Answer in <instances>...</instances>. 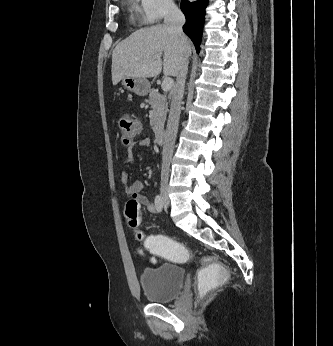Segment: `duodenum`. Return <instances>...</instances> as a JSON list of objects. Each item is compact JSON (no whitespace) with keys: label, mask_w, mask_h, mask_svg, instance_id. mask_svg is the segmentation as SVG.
I'll return each instance as SVG.
<instances>
[{"label":"duodenum","mask_w":333,"mask_h":346,"mask_svg":"<svg viewBox=\"0 0 333 346\" xmlns=\"http://www.w3.org/2000/svg\"><path fill=\"white\" fill-rule=\"evenodd\" d=\"M155 140L158 144H162L165 140V131L162 128L155 130Z\"/></svg>","instance_id":"obj_1"}]
</instances>
